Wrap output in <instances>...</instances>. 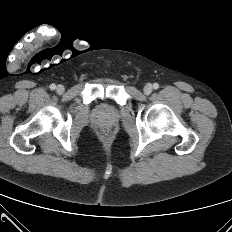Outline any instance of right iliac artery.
<instances>
[{
    "label": "right iliac artery",
    "mask_w": 232,
    "mask_h": 232,
    "mask_svg": "<svg viewBox=\"0 0 232 232\" xmlns=\"http://www.w3.org/2000/svg\"><path fill=\"white\" fill-rule=\"evenodd\" d=\"M50 89H51V90L56 89V85H55V84H51V85H50Z\"/></svg>",
    "instance_id": "obj_1"
}]
</instances>
